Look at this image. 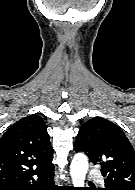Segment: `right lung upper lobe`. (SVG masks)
Masks as SVG:
<instances>
[{
  "label": "right lung upper lobe",
  "instance_id": "cb5924a9",
  "mask_svg": "<svg viewBox=\"0 0 135 190\" xmlns=\"http://www.w3.org/2000/svg\"><path fill=\"white\" fill-rule=\"evenodd\" d=\"M46 125L38 115L22 118L0 139V175L17 171L46 170L53 166Z\"/></svg>",
  "mask_w": 135,
  "mask_h": 190
}]
</instances>
